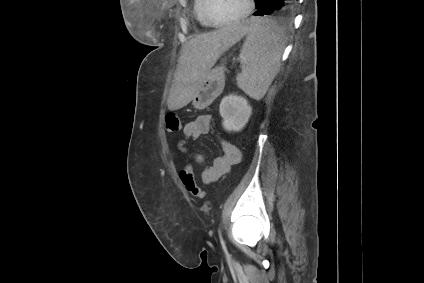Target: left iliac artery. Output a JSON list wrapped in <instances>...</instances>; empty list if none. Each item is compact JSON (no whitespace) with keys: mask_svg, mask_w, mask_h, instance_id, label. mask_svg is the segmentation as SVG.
Instances as JSON below:
<instances>
[{"mask_svg":"<svg viewBox=\"0 0 424 283\" xmlns=\"http://www.w3.org/2000/svg\"><path fill=\"white\" fill-rule=\"evenodd\" d=\"M219 235H220V238H221V231H219ZM221 241H222V238H221Z\"/></svg>","mask_w":424,"mask_h":283,"instance_id":"1","label":"left iliac artery"}]
</instances>
